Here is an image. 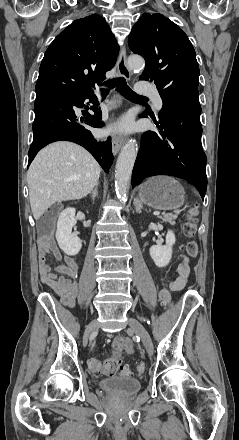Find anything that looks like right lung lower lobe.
<instances>
[{"instance_id": "1", "label": "right lung lower lobe", "mask_w": 239, "mask_h": 440, "mask_svg": "<svg viewBox=\"0 0 239 440\" xmlns=\"http://www.w3.org/2000/svg\"><path fill=\"white\" fill-rule=\"evenodd\" d=\"M89 99L96 104L94 91L78 92L74 94L47 93L36 96L34 111L35 120L32 126L34 137L29 149V163L32 162L40 149L55 141H72L86 148L98 161L105 172L113 161L111 141H97L91 134L88 126L100 128V109H92L95 114L90 115L83 111L84 117L77 118L73 108L84 107V101Z\"/></svg>"}]
</instances>
